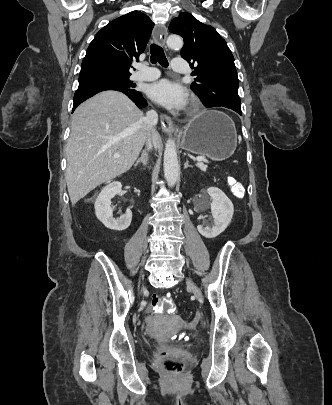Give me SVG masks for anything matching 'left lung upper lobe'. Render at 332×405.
Masks as SVG:
<instances>
[{
	"label": "left lung upper lobe",
	"mask_w": 332,
	"mask_h": 405,
	"mask_svg": "<svg viewBox=\"0 0 332 405\" xmlns=\"http://www.w3.org/2000/svg\"><path fill=\"white\" fill-rule=\"evenodd\" d=\"M169 30L184 39L181 56L194 69L192 74L196 77L191 87L204 106L240 111L238 76L226 41L212 26L189 13L172 20Z\"/></svg>",
	"instance_id": "obj_1"
}]
</instances>
